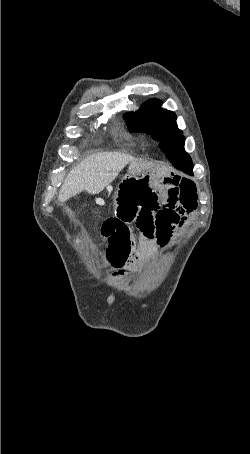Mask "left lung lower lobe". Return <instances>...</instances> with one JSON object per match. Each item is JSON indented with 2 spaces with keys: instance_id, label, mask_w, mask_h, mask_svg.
<instances>
[{
  "instance_id": "1",
  "label": "left lung lower lobe",
  "mask_w": 250,
  "mask_h": 454,
  "mask_svg": "<svg viewBox=\"0 0 250 454\" xmlns=\"http://www.w3.org/2000/svg\"><path fill=\"white\" fill-rule=\"evenodd\" d=\"M176 169L182 170L187 174L193 175V164L188 154H176L168 158Z\"/></svg>"
}]
</instances>
